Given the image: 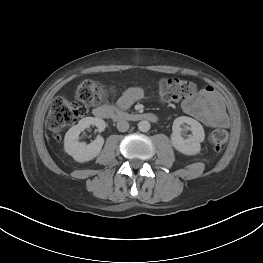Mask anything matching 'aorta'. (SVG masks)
<instances>
[{
	"mask_svg": "<svg viewBox=\"0 0 263 263\" xmlns=\"http://www.w3.org/2000/svg\"><path fill=\"white\" fill-rule=\"evenodd\" d=\"M138 129L141 132H147L150 129V123L147 120H142L138 123Z\"/></svg>",
	"mask_w": 263,
	"mask_h": 263,
	"instance_id": "1",
	"label": "aorta"
}]
</instances>
